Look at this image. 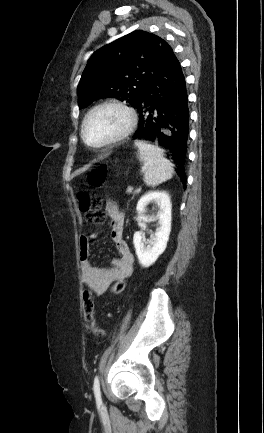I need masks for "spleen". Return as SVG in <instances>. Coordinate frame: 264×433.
I'll list each match as a JSON object with an SVG mask.
<instances>
[{
	"instance_id": "1",
	"label": "spleen",
	"mask_w": 264,
	"mask_h": 433,
	"mask_svg": "<svg viewBox=\"0 0 264 433\" xmlns=\"http://www.w3.org/2000/svg\"><path fill=\"white\" fill-rule=\"evenodd\" d=\"M134 144L144 163V182L148 186L154 187L172 178L173 165L164 157L161 148L141 140H136Z\"/></svg>"
}]
</instances>
